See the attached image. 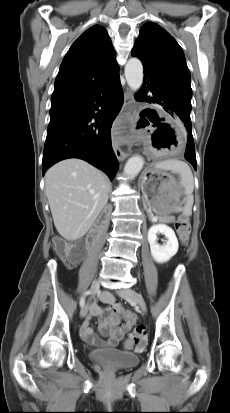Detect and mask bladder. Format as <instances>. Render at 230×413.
<instances>
[{
    "mask_svg": "<svg viewBox=\"0 0 230 413\" xmlns=\"http://www.w3.org/2000/svg\"><path fill=\"white\" fill-rule=\"evenodd\" d=\"M90 359L95 364L111 371L133 368L140 361L137 355L118 350H94L90 353Z\"/></svg>",
    "mask_w": 230,
    "mask_h": 413,
    "instance_id": "31cf9c89",
    "label": "bladder"
}]
</instances>
